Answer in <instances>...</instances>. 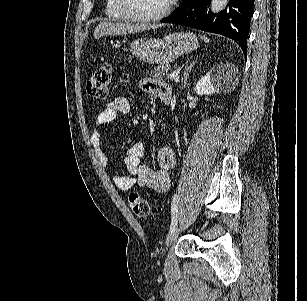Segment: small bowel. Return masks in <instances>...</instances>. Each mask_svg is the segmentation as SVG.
Listing matches in <instances>:
<instances>
[{
    "label": "small bowel",
    "instance_id": "c3829d8e",
    "mask_svg": "<svg viewBox=\"0 0 307 301\" xmlns=\"http://www.w3.org/2000/svg\"><path fill=\"white\" fill-rule=\"evenodd\" d=\"M141 89L149 94L161 98L170 92L167 84L153 79H145L140 84ZM130 111V102L125 97H116L97 115L94 120L91 144L103 167L109 165V159L102 147V132L104 127L115 119L125 116ZM144 152V146L138 142L133 144L126 153L125 164L129 174L116 175L113 182L120 190L126 191L134 185L147 187L156 192H166L170 186L169 171L174 167L176 156L172 148L162 147L157 154L158 169H151L141 164L140 160Z\"/></svg>",
    "mask_w": 307,
    "mask_h": 301
}]
</instances>
